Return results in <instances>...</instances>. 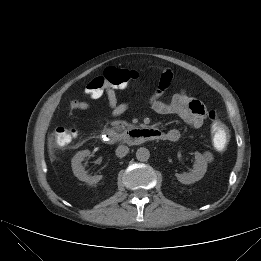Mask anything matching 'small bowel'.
I'll return each instance as SVG.
<instances>
[{
    "instance_id": "obj_1",
    "label": "small bowel",
    "mask_w": 261,
    "mask_h": 261,
    "mask_svg": "<svg viewBox=\"0 0 261 261\" xmlns=\"http://www.w3.org/2000/svg\"><path fill=\"white\" fill-rule=\"evenodd\" d=\"M172 79V70L165 68L161 73L158 88L149 100L151 109L160 115H177L188 125L194 128L201 127L207 115L206 108L186 90H181L176 93L168 102L161 99L165 91L170 86ZM127 86L128 85L114 87L109 85L105 87L103 95L106 96L108 110L111 117H118L129 109L130 104L128 102H119L117 96V91L124 90ZM90 106L91 104L89 102L82 100H72L70 102V107L73 110H87ZM159 131L161 133L160 140L163 141L174 142L180 137V132L177 129Z\"/></svg>"
}]
</instances>
